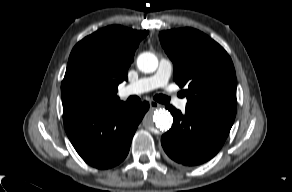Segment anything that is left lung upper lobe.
I'll return each mask as SVG.
<instances>
[{
    "label": "left lung upper lobe",
    "mask_w": 292,
    "mask_h": 192,
    "mask_svg": "<svg viewBox=\"0 0 292 192\" xmlns=\"http://www.w3.org/2000/svg\"><path fill=\"white\" fill-rule=\"evenodd\" d=\"M162 47L174 63V80L187 87L186 112L234 121L236 74L227 52L204 33L181 28L159 33Z\"/></svg>",
    "instance_id": "left-lung-upper-lobe-1"
}]
</instances>
